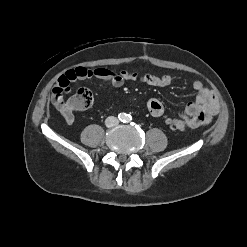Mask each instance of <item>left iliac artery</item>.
Masks as SVG:
<instances>
[{
	"label": "left iliac artery",
	"instance_id": "1",
	"mask_svg": "<svg viewBox=\"0 0 247 247\" xmlns=\"http://www.w3.org/2000/svg\"><path fill=\"white\" fill-rule=\"evenodd\" d=\"M132 121V117H131V115H128L127 117H126V121L125 122H131Z\"/></svg>",
	"mask_w": 247,
	"mask_h": 247
}]
</instances>
